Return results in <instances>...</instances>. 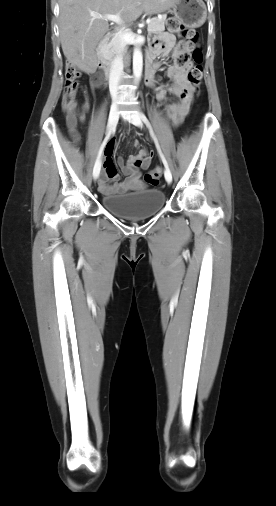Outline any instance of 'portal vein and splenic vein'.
Segmentation results:
<instances>
[{
	"label": "portal vein and splenic vein",
	"mask_w": 276,
	"mask_h": 506,
	"mask_svg": "<svg viewBox=\"0 0 276 506\" xmlns=\"http://www.w3.org/2000/svg\"><path fill=\"white\" fill-rule=\"evenodd\" d=\"M91 16L93 18H100V19H105V20H108V21H113V22H116V23H121V18L118 14L116 15H99V14H91ZM151 20H148L147 21V24L150 23Z\"/></svg>",
	"instance_id": "18ae733b"
}]
</instances>
